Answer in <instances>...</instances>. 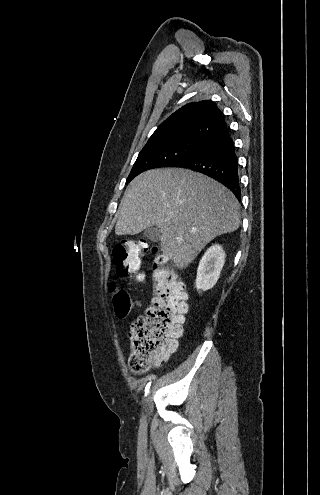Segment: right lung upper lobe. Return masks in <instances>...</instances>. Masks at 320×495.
I'll return each mask as SVG.
<instances>
[{"label": "right lung upper lobe", "instance_id": "cb5924a9", "mask_svg": "<svg viewBox=\"0 0 320 495\" xmlns=\"http://www.w3.org/2000/svg\"><path fill=\"white\" fill-rule=\"evenodd\" d=\"M227 128L221 111L210 100L189 103L174 112L161 123L145 146H152L181 139L210 136Z\"/></svg>", "mask_w": 320, "mask_h": 495}]
</instances>
